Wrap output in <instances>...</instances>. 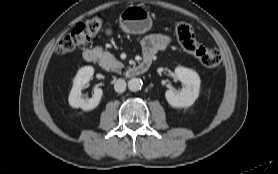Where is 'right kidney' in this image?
<instances>
[{"instance_id": "1", "label": "right kidney", "mask_w": 278, "mask_h": 174, "mask_svg": "<svg viewBox=\"0 0 278 174\" xmlns=\"http://www.w3.org/2000/svg\"><path fill=\"white\" fill-rule=\"evenodd\" d=\"M94 74V68L92 66L82 67L73 81V87L69 94V104L73 108H81L85 111L92 110L98 106L101 97L103 95V91L101 88H95L92 98H82V89L85 84L89 82L91 77Z\"/></svg>"}]
</instances>
